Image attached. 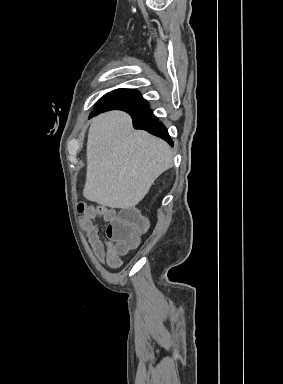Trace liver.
Here are the masks:
<instances>
[{"label": "liver", "mask_w": 283, "mask_h": 384, "mask_svg": "<svg viewBox=\"0 0 283 384\" xmlns=\"http://www.w3.org/2000/svg\"><path fill=\"white\" fill-rule=\"evenodd\" d=\"M86 154L84 198L122 210L137 206L173 162L170 146L133 130L125 112H106L92 120Z\"/></svg>", "instance_id": "obj_1"}]
</instances>
